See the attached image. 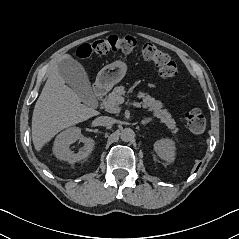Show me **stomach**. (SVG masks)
I'll list each match as a JSON object with an SVG mask.
<instances>
[{"instance_id": "1", "label": "stomach", "mask_w": 239, "mask_h": 239, "mask_svg": "<svg viewBox=\"0 0 239 239\" xmlns=\"http://www.w3.org/2000/svg\"><path fill=\"white\" fill-rule=\"evenodd\" d=\"M126 73V65L121 61L108 64L100 70L96 78V84L103 89H111L120 82Z\"/></svg>"}]
</instances>
